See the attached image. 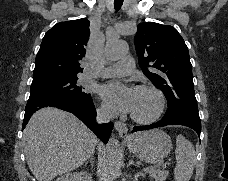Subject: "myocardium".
Segmentation results:
<instances>
[{"mask_svg":"<svg viewBox=\"0 0 228 181\" xmlns=\"http://www.w3.org/2000/svg\"><path fill=\"white\" fill-rule=\"evenodd\" d=\"M135 89L136 90L147 89L153 92L154 95L156 96L157 104L154 111L149 116L142 117L133 113L131 115L132 119L138 123H143V124H148L155 121L161 115L165 106V97L163 93L157 87L150 84H137L135 85Z\"/></svg>","mask_w":228,"mask_h":181,"instance_id":"f54148a6","label":"myocardium"}]
</instances>
